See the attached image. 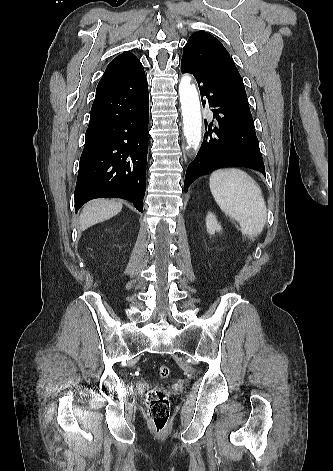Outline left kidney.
Returning <instances> with one entry per match:
<instances>
[{"label": "left kidney", "mask_w": 333, "mask_h": 471, "mask_svg": "<svg viewBox=\"0 0 333 471\" xmlns=\"http://www.w3.org/2000/svg\"><path fill=\"white\" fill-rule=\"evenodd\" d=\"M206 227H207V232L210 235H213L215 232L221 231V226L218 223L216 216L210 212L208 213L206 217Z\"/></svg>", "instance_id": "left-kidney-1"}]
</instances>
